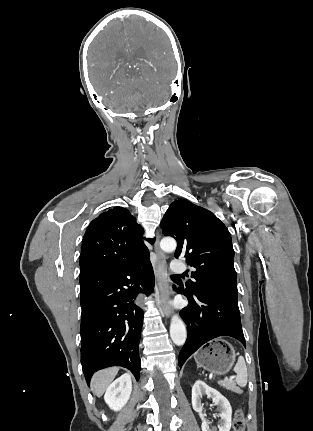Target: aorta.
Instances as JSON below:
<instances>
[{
  "label": "aorta",
  "mask_w": 313,
  "mask_h": 431,
  "mask_svg": "<svg viewBox=\"0 0 313 431\" xmlns=\"http://www.w3.org/2000/svg\"><path fill=\"white\" fill-rule=\"evenodd\" d=\"M177 243L173 238L166 237L160 242V248L165 252H172L176 249ZM170 336L173 343L177 346L184 345L187 332L184 322L178 315H174L170 323Z\"/></svg>",
  "instance_id": "762f6f07"
}]
</instances>
